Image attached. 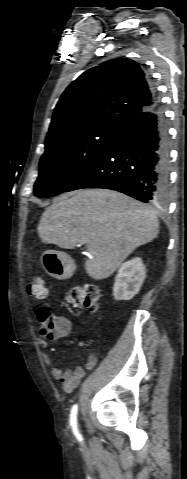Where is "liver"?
<instances>
[{
  "instance_id": "obj_1",
  "label": "liver",
  "mask_w": 187,
  "mask_h": 479,
  "mask_svg": "<svg viewBox=\"0 0 187 479\" xmlns=\"http://www.w3.org/2000/svg\"><path fill=\"white\" fill-rule=\"evenodd\" d=\"M159 233L155 212L139 201L108 189H84L54 199L41 216L42 242L73 249L84 243L88 275L111 276L139 246Z\"/></svg>"
}]
</instances>
